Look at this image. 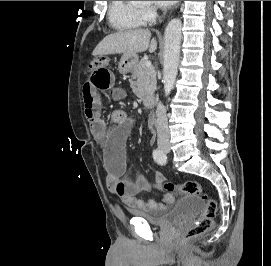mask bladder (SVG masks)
Here are the masks:
<instances>
[{"label": "bladder", "mask_w": 271, "mask_h": 266, "mask_svg": "<svg viewBox=\"0 0 271 266\" xmlns=\"http://www.w3.org/2000/svg\"><path fill=\"white\" fill-rule=\"evenodd\" d=\"M204 207V201L199 195L189 194L178 203L160 213L157 216L148 215L138 211H132V216L142 219L153 226H167L169 224L180 221Z\"/></svg>", "instance_id": "31cf9c89"}]
</instances>
